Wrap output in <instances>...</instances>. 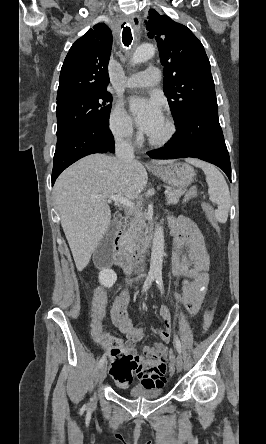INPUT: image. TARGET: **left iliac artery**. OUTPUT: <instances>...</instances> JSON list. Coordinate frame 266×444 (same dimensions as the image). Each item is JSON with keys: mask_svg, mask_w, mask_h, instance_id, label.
I'll list each match as a JSON object with an SVG mask.
<instances>
[{"mask_svg": "<svg viewBox=\"0 0 266 444\" xmlns=\"http://www.w3.org/2000/svg\"><path fill=\"white\" fill-rule=\"evenodd\" d=\"M155 280H156V284H157L158 288L160 289L161 293H164L162 275L160 273L156 274ZM174 342H175V347H176L178 353L181 354L182 347H181L180 340L177 336H175Z\"/></svg>", "mask_w": 266, "mask_h": 444, "instance_id": "obj_1", "label": "left iliac artery"}]
</instances>
